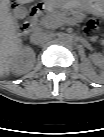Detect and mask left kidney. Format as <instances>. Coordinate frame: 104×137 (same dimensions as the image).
I'll list each match as a JSON object with an SVG mask.
<instances>
[{
    "instance_id": "left-kidney-1",
    "label": "left kidney",
    "mask_w": 104,
    "mask_h": 137,
    "mask_svg": "<svg viewBox=\"0 0 104 137\" xmlns=\"http://www.w3.org/2000/svg\"><path fill=\"white\" fill-rule=\"evenodd\" d=\"M91 60L97 64L98 66H103L104 64V58L102 55L100 54H93L92 57H91ZM83 66H86V65H89V62L88 61H85L82 63Z\"/></svg>"
}]
</instances>
